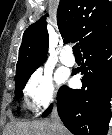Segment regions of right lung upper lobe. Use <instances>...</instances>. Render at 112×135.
I'll return each instance as SVG.
<instances>
[{"mask_svg": "<svg viewBox=\"0 0 112 135\" xmlns=\"http://www.w3.org/2000/svg\"><path fill=\"white\" fill-rule=\"evenodd\" d=\"M57 25L64 41H79L81 50L112 36V3L109 0H60ZM45 16L23 34L16 76L32 74L47 58Z\"/></svg>", "mask_w": 112, "mask_h": 135, "instance_id": "obj_1", "label": "right lung upper lobe"}]
</instances>
